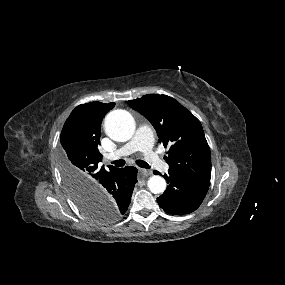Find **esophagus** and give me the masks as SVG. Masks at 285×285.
<instances>
[{
  "label": "esophagus",
  "mask_w": 285,
  "mask_h": 285,
  "mask_svg": "<svg viewBox=\"0 0 285 285\" xmlns=\"http://www.w3.org/2000/svg\"><path fill=\"white\" fill-rule=\"evenodd\" d=\"M140 173H141L142 176L147 177V176H150L152 174V171L151 170H147V169H141Z\"/></svg>",
  "instance_id": "esophagus-1"
}]
</instances>
